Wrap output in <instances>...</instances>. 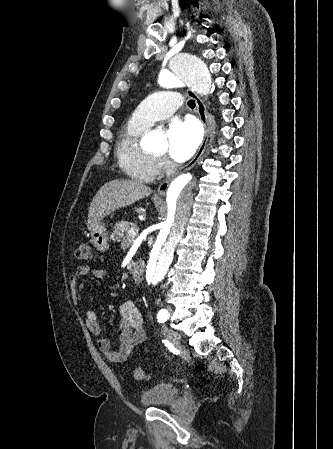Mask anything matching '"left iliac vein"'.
Segmentation results:
<instances>
[{"instance_id": "obj_1", "label": "left iliac vein", "mask_w": 333, "mask_h": 449, "mask_svg": "<svg viewBox=\"0 0 333 449\" xmlns=\"http://www.w3.org/2000/svg\"><path fill=\"white\" fill-rule=\"evenodd\" d=\"M163 334L166 337V339L171 341L174 345H177L180 343L181 337H180L179 333L177 331L173 330L172 328L164 326Z\"/></svg>"}]
</instances>
